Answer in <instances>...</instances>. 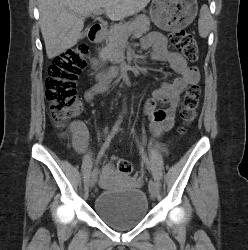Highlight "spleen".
<instances>
[{
  "mask_svg": "<svg viewBox=\"0 0 248 250\" xmlns=\"http://www.w3.org/2000/svg\"><path fill=\"white\" fill-rule=\"evenodd\" d=\"M211 15L207 5H203L200 10V18L198 21V31L202 38H206L210 30Z\"/></svg>",
  "mask_w": 248,
  "mask_h": 250,
  "instance_id": "spleen-1",
  "label": "spleen"
}]
</instances>
